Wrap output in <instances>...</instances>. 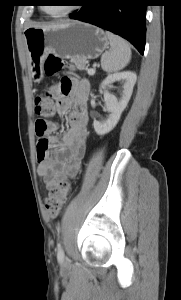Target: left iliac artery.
<instances>
[{
    "label": "left iliac artery",
    "instance_id": "44dca946",
    "mask_svg": "<svg viewBox=\"0 0 181 300\" xmlns=\"http://www.w3.org/2000/svg\"><path fill=\"white\" fill-rule=\"evenodd\" d=\"M57 259L59 262H62L64 259V251L61 244H58Z\"/></svg>",
    "mask_w": 181,
    "mask_h": 300
}]
</instances>
